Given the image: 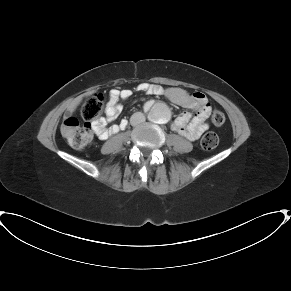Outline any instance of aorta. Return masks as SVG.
I'll return each instance as SVG.
<instances>
[{
  "label": "aorta",
  "instance_id": "obj_1",
  "mask_svg": "<svg viewBox=\"0 0 291 291\" xmlns=\"http://www.w3.org/2000/svg\"><path fill=\"white\" fill-rule=\"evenodd\" d=\"M149 119L158 124H165L170 120V110L164 103L154 104L149 111Z\"/></svg>",
  "mask_w": 291,
  "mask_h": 291
}]
</instances>
